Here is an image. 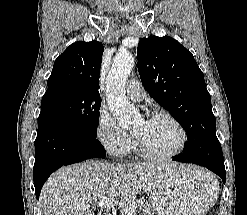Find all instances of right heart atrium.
I'll list each match as a JSON object with an SVG mask.
<instances>
[{"label": "right heart atrium", "instance_id": "d8ad5b80", "mask_svg": "<svg viewBox=\"0 0 247 215\" xmlns=\"http://www.w3.org/2000/svg\"><path fill=\"white\" fill-rule=\"evenodd\" d=\"M95 135L105 150L116 157L124 156L132 142L131 136L119 127L114 117L103 107L98 113Z\"/></svg>", "mask_w": 247, "mask_h": 215}]
</instances>
